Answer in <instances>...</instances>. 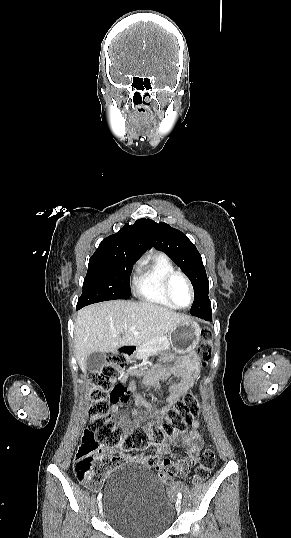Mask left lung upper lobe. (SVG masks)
<instances>
[{
  "label": "left lung upper lobe",
  "mask_w": 291,
  "mask_h": 538,
  "mask_svg": "<svg viewBox=\"0 0 291 538\" xmlns=\"http://www.w3.org/2000/svg\"><path fill=\"white\" fill-rule=\"evenodd\" d=\"M151 244L164 251L182 269L194 288V302L190 313L203 307H211L208 297L209 281L200 253L189 238L178 229L148 219Z\"/></svg>",
  "instance_id": "1"
}]
</instances>
